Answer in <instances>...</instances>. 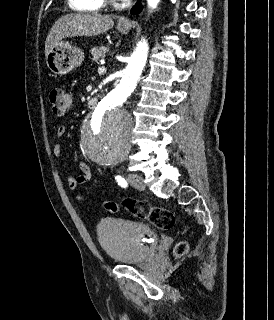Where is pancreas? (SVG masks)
<instances>
[{
    "instance_id": "cf45deb5",
    "label": "pancreas",
    "mask_w": 274,
    "mask_h": 320,
    "mask_svg": "<svg viewBox=\"0 0 274 320\" xmlns=\"http://www.w3.org/2000/svg\"><path fill=\"white\" fill-rule=\"evenodd\" d=\"M109 52L108 46H100V48H92V60L93 62H99L101 58H106V54Z\"/></svg>"
}]
</instances>
